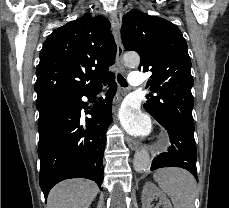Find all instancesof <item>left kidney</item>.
Wrapping results in <instances>:
<instances>
[{
	"mask_svg": "<svg viewBox=\"0 0 229 208\" xmlns=\"http://www.w3.org/2000/svg\"><path fill=\"white\" fill-rule=\"evenodd\" d=\"M154 198H157L160 204H163V208H172L167 196H165L155 184H152V182H146L145 186H143L142 192L143 208H151L150 202H152Z\"/></svg>",
	"mask_w": 229,
	"mask_h": 208,
	"instance_id": "obj_1",
	"label": "left kidney"
}]
</instances>
